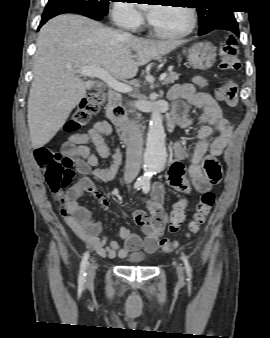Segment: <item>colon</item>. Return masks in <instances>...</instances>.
<instances>
[{
    "mask_svg": "<svg viewBox=\"0 0 270 338\" xmlns=\"http://www.w3.org/2000/svg\"><path fill=\"white\" fill-rule=\"evenodd\" d=\"M222 56L221 68L227 71H236L241 67L238 58L239 50L237 40L233 36L225 37L220 44ZM219 97L228 106L233 107L237 104V88L232 80H227L220 89ZM105 104V96L100 92H93L83 98L75 109L67 126L71 130H76L85 125L92 116L98 114ZM229 126L227 120L219 122V128L225 129ZM35 161L45 173V180L49 190L53 193L62 192L73 180L74 171L72 169L73 161L68 157L60 155L47 147H39L34 152ZM203 168L207 172L219 174L220 167L214 159H206L203 162ZM215 203V194L213 192L204 193L195 209L192 220L189 224V234H195L204 224L207 216L211 212ZM186 202L178 201L170 211L169 230L176 232L185 218ZM147 220V215L141 216V223ZM175 243L169 238L161 240V249L163 252H170L174 249Z\"/></svg>",
    "mask_w": 270,
    "mask_h": 338,
    "instance_id": "1",
    "label": "colon"
}]
</instances>
